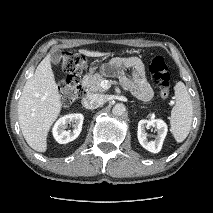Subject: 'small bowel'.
<instances>
[{"label":"small bowel","mask_w":213,"mask_h":213,"mask_svg":"<svg viewBox=\"0 0 213 213\" xmlns=\"http://www.w3.org/2000/svg\"><path fill=\"white\" fill-rule=\"evenodd\" d=\"M111 68L113 71L130 70L132 77L121 75V84L141 100H148L151 97L152 89L141 60L136 57H118L111 61Z\"/></svg>","instance_id":"1"}]
</instances>
